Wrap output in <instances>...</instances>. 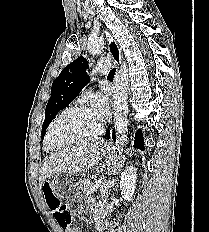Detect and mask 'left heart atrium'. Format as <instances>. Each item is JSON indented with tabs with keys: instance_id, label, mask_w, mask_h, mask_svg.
I'll return each instance as SVG.
<instances>
[{
	"instance_id": "1",
	"label": "left heart atrium",
	"mask_w": 209,
	"mask_h": 232,
	"mask_svg": "<svg viewBox=\"0 0 209 232\" xmlns=\"http://www.w3.org/2000/svg\"><path fill=\"white\" fill-rule=\"evenodd\" d=\"M109 109V103L106 97L101 95H96L91 104L92 112L97 116V118L101 121L107 118Z\"/></svg>"
}]
</instances>
